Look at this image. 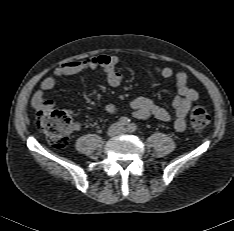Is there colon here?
<instances>
[{
    "instance_id": "5ec220e1",
    "label": "colon",
    "mask_w": 234,
    "mask_h": 231,
    "mask_svg": "<svg viewBox=\"0 0 234 231\" xmlns=\"http://www.w3.org/2000/svg\"><path fill=\"white\" fill-rule=\"evenodd\" d=\"M36 123L53 147L64 148L68 144L72 116L67 108L41 110ZM190 123L194 129L203 130L210 123L208 111L202 106L194 107L190 112Z\"/></svg>"
}]
</instances>
